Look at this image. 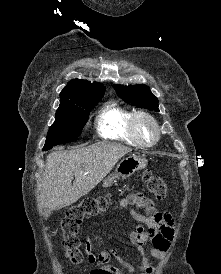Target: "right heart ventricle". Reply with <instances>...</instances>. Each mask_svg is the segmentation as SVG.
Listing matches in <instances>:
<instances>
[{
  "label": "right heart ventricle",
  "mask_w": 221,
  "mask_h": 274,
  "mask_svg": "<svg viewBox=\"0 0 221 274\" xmlns=\"http://www.w3.org/2000/svg\"><path fill=\"white\" fill-rule=\"evenodd\" d=\"M133 114L134 111L117 102L105 104L96 117V128L99 135L106 139L139 146L130 131V121Z\"/></svg>",
  "instance_id": "1"
}]
</instances>
